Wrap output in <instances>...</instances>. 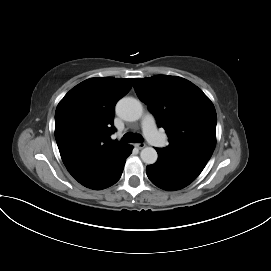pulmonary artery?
I'll return each instance as SVG.
<instances>
[{
    "label": "pulmonary artery",
    "mask_w": 271,
    "mask_h": 271,
    "mask_svg": "<svg viewBox=\"0 0 271 271\" xmlns=\"http://www.w3.org/2000/svg\"><path fill=\"white\" fill-rule=\"evenodd\" d=\"M142 129L146 138L155 145H162L163 139L159 134L156 126V121L151 114H146L142 119Z\"/></svg>",
    "instance_id": "pulmonary-artery-1"
}]
</instances>
